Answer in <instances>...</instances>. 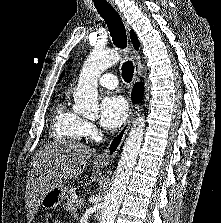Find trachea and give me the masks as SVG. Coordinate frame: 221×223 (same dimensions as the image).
<instances>
[{
	"mask_svg": "<svg viewBox=\"0 0 221 223\" xmlns=\"http://www.w3.org/2000/svg\"><path fill=\"white\" fill-rule=\"evenodd\" d=\"M98 13L104 19L109 29L112 40L118 48L125 49L127 46V35L124 24L115 9L106 0H93ZM134 73L133 63L128 60L122 65V76L125 82L132 81Z\"/></svg>",
	"mask_w": 221,
	"mask_h": 223,
	"instance_id": "1",
	"label": "trachea"
}]
</instances>
